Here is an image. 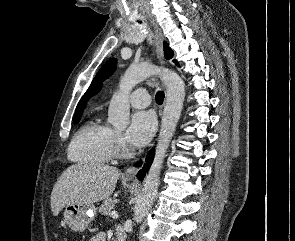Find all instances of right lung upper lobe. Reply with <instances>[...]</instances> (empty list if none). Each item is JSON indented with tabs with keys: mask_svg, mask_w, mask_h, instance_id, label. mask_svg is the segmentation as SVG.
Wrapping results in <instances>:
<instances>
[{
	"mask_svg": "<svg viewBox=\"0 0 295 241\" xmlns=\"http://www.w3.org/2000/svg\"><path fill=\"white\" fill-rule=\"evenodd\" d=\"M84 105H85V101L83 100V98L79 101L76 111H75V117H81L83 109H84Z\"/></svg>",
	"mask_w": 295,
	"mask_h": 241,
	"instance_id": "1",
	"label": "right lung upper lobe"
}]
</instances>
